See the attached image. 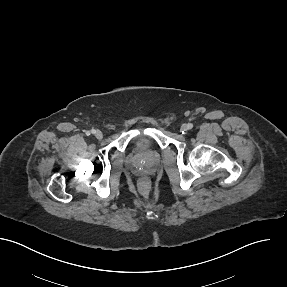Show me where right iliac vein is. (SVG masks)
<instances>
[{
    "instance_id": "right-iliac-vein-1",
    "label": "right iliac vein",
    "mask_w": 287,
    "mask_h": 287,
    "mask_svg": "<svg viewBox=\"0 0 287 287\" xmlns=\"http://www.w3.org/2000/svg\"><path fill=\"white\" fill-rule=\"evenodd\" d=\"M94 136L99 140L103 138V134L100 130L95 131Z\"/></svg>"
}]
</instances>
